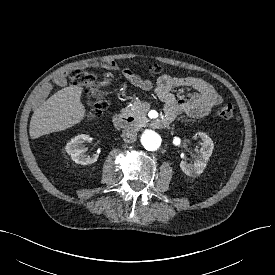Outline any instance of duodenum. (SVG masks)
Returning a JSON list of instances; mask_svg holds the SVG:
<instances>
[{
  "label": "duodenum",
  "mask_w": 275,
  "mask_h": 275,
  "mask_svg": "<svg viewBox=\"0 0 275 275\" xmlns=\"http://www.w3.org/2000/svg\"><path fill=\"white\" fill-rule=\"evenodd\" d=\"M171 118L168 116H163L153 122V125L157 128L166 127L170 122ZM129 119L124 114H116L113 118V124L116 128H124L127 126Z\"/></svg>",
  "instance_id": "1"
}]
</instances>
